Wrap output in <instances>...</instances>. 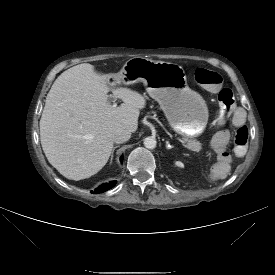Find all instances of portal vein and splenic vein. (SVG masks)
Here are the masks:
<instances>
[{"label": "portal vein and splenic vein", "instance_id": "portal-vein-and-splenic-vein-1", "mask_svg": "<svg viewBox=\"0 0 275 275\" xmlns=\"http://www.w3.org/2000/svg\"><path fill=\"white\" fill-rule=\"evenodd\" d=\"M114 106H115V105H114ZM196 150H198V151H199V150H200V146L196 147Z\"/></svg>", "mask_w": 275, "mask_h": 275}]
</instances>
